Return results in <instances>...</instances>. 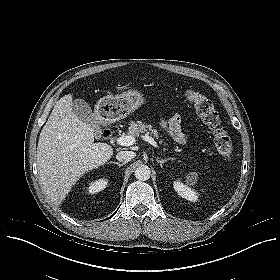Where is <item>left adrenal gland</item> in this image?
Wrapping results in <instances>:
<instances>
[{
  "instance_id": "obj_1",
  "label": "left adrenal gland",
  "mask_w": 280,
  "mask_h": 280,
  "mask_svg": "<svg viewBox=\"0 0 280 280\" xmlns=\"http://www.w3.org/2000/svg\"><path fill=\"white\" fill-rule=\"evenodd\" d=\"M168 160H174V158H166V159H160V158H156V161L160 164V166H162V164H164L165 162H167Z\"/></svg>"
}]
</instances>
